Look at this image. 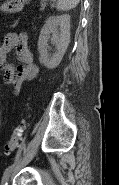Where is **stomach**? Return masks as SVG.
<instances>
[{
  "mask_svg": "<svg viewBox=\"0 0 119 185\" xmlns=\"http://www.w3.org/2000/svg\"><path fill=\"white\" fill-rule=\"evenodd\" d=\"M27 1L28 0H7V2L1 6V10L7 13L19 12L23 9Z\"/></svg>",
  "mask_w": 119,
  "mask_h": 185,
  "instance_id": "1",
  "label": "stomach"
}]
</instances>
